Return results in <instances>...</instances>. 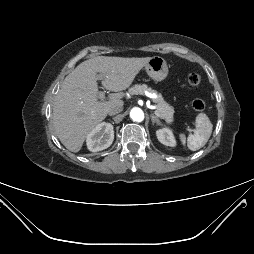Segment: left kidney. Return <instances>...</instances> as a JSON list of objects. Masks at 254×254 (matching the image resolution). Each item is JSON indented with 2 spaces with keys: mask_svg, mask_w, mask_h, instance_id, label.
<instances>
[{
  "mask_svg": "<svg viewBox=\"0 0 254 254\" xmlns=\"http://www.w3.org/2000/svg\"><path fill=\"white\" fill-rule=\"evenodd\" d=\"M158 140L166 146H176V140L172 131L169 128H162L156 131Z\"/></svg>",
  "mask_w": 254,
  "mask_h": 254,
  "instance_id": "5707ae66",
  "label": "left kidney"
}]
</instances>
